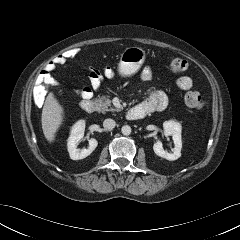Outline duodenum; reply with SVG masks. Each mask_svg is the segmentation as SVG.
I'll list each match as a JSON object with an SVG mask.
<instances>
[{
  "instance_id": "410a0bca",
  "label": "duodenum",
  "mask_w": 240,
  "mask_h": 240,
  "mask_svg": "<svg viewBox=\"0 0 240 240\" xmlns=\"http://www.w3.org/2000/svg\"><path fill=\"white\" fill-rule=\"evenodd\" d=\"M80 107L84 112L91 113L95 108V103L93 100L85 98L80 102ZM145 116L146 112L139 107H133L126 112V118L129 120H139Z\"/></svg>"
}]
</instances>
